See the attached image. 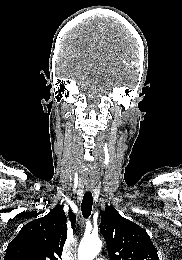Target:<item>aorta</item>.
Wrapping results in <instances>:
<instances>
[{"label": "aorta", "instance_id": "obj_1", "mask_svg": "<svg viewBox=\"0 0 182 260\" xmlns=\"http://www.w3.org/2000/svg\"><path fill=\"white\" fill-rule=\"evenodd\" d=\"M102 248L99 237H84L78 247V260H93Z\"/></svg>", "mask_w": 182, "mask_h": 260}]
</instances>
